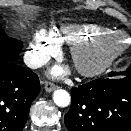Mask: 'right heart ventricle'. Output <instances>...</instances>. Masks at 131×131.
I'll list each match as a JSON object with an SVG mask.
<instances>
[{
  "mask_svg": "<svg viewBox=\"0 0 131 131\" xmlns=\"http://www.w3.org/2000/svg\"><path fill=\"white\" fill-rule=\"evenodd\" d=\"M111 31L112 29L108 27L94 23H67L53 29L50 36L56 42L72 45Z\"/></svg>",
  "mask_w": 131,
  "mask_h": 131,
  "instance_id": "e07e8e85",
  "label": "right heart ventricle"
}]
</instances>
